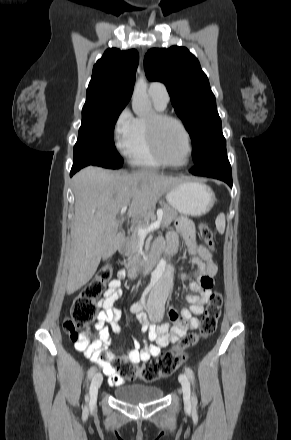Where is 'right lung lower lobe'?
Listing matches in <instances>:
<instances>
[{
    "label": "right lung lower lobe",
    "instance_id": "obj_1",
    "mask_svg": "<svg viewBox=\"0 0 291 440\" xmlns=\"http://www.w3.org/2000/svg\"><path fill=\"white\" fill-rule=\"evenodd\" d=\"M88 166L85 163H80L79 165L73 164L71 172H70V176H72L73 174H75L77 171H79L81 168Z\"/></svg>",
    "mask_w": 291,
    "mask_h": 440
}]
</instances>
